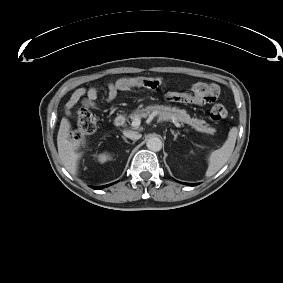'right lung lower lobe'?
Returning <instances> with one entry per match:
<instances>
[{
  "mask_svg": "<svg viewBox=\"0 0 283 283\" xmlns=\"http://www.w3.org/2000/svg\"><path fill=\"white\" fill-rule=\"evenodd\" d=\"M109 185H105V186H92L93 189H96V190H100V189H103L104 187H107Z\"/></svg>",
  "mask_w": 283,
  "mask_h": 283,
  "instance_id": "1",
  "label": "right lung lower lobe"
}]
</instances>
